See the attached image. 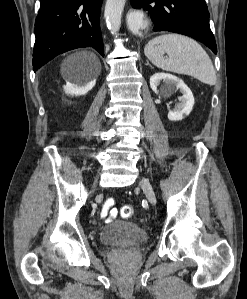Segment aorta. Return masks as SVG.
Returning <instances> with one entry per match:
<instances>
[{
    "instance_id": "762f6f07",
    "label": "aorta",
    "mask_w": 247,
    "mask_h": 299,
    "mask_svg": "<svg viewBox=\"0 0 247 299\" xmlns=\"http://www.w3.org/2000/svg\"><path fill=\"white\" fill-rule=\"evenodd\" d=\"M126 0H107L105 5V19L112 34H117L121 26V16Z\"/></svg>"
}]
</instances>
